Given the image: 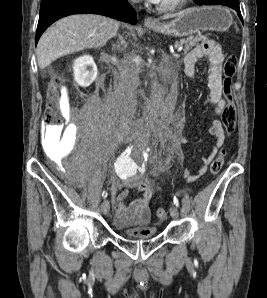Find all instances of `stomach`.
<instances>
[{"mask_svg":"<svg viewBox=\"0 0 267 298\" xmlns=\"http://www.w3.org/2000/svg\"><path fill=\"white\" fill-rule=\"evenodd\" d=\"M233 21L230 11L222 6H202L183 10L169 23L150 27L154 32L184 37L199 31L224 32Z\"/></svg>","mask_w":267,"mask_h":298,"instance_id":"obj_1","label":"stomach"}]
</instances>
